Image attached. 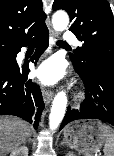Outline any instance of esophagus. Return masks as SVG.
<instances>
[{"mask_svg": "<svg viewBox=\"0 0 114 156\" xmlns=\"http://www.w3.org/2000/svg\"><path fill=\"white\" fill-rule=\"evenodd\" d=\"M56 39H57V33L51 29L50 35H49V46H50V48L55 47ZM53 95H54L53 90H51L49 88H45V87L42 88V96H43L44 103L46 105H48L51 102Z\"/></svg>", "mask_w": 114, "mask_h": 156, "instance_id": "1", "label": "esophagus"}]
</instances>
